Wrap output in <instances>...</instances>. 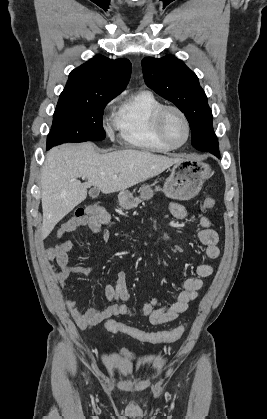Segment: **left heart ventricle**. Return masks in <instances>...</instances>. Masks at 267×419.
Instances as JSON below:
<instances>
[{"label": "left heart ventricle", "instance_id": "1", "mask_svg": "<svg viewBox=\"0 0 267 419\" xmlns=\"http://www.w3.org/2000/svg\"><path fill=\"white\" fill-rule=\"evenodd\" d=\"M164 130L166 136L173 144H181L186 137V128L181 117L174 111L167 113Z\"/></svg>", "mask_w": 267, "mask_h": 419}]
</instances>
